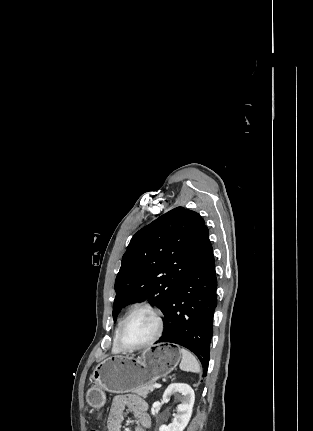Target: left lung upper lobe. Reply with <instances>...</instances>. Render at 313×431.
<instances>
[{
	"label": "left lung upper lobe",
	"mask_w": 313,
	"mask_h": 431,
	"mask_svg": "<svg viewBox=\"0 0 313 431\" xmlns=\"http://www.w3.org/2000/svg\"><path fill=\"white\" fill-rule=\"evenodd\" d=\"M209 230L196 212L177 207L131 239L115 281L113 319L121 308L148 300L164 312L209 243Z\"/></svg>",
	"instance_id": "left-lung-upper-lobe-1"
}]
</instances>
